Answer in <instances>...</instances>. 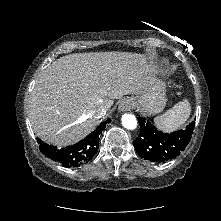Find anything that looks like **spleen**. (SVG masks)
I'll use <instances>...</instances> for the list:
<instances>
[{
    "mask_svg": "<svg viewBox=\"0 0 221 221\" xmlns=\"http://www.w3.org/2000/svg\"><path fill=\"white\" fill-rule=\"evenodd\" d=\"M191 114L190 103L184 99L178 102L164 114L154 118L156 127L164 132H172L180 128Z\"/></svg>",
    "mask_w": 221,
    "mask_h": 221,
    "instance_id": "3e777b00",
    "label": "spleen"
}]
</instances>
